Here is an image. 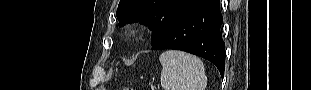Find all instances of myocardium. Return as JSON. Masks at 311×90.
Here are the masks:
<instances>
[{
  "label": "myocardium",
  "instance_id": "myocardium-1",
  "mask_svg": "<svg viewBox=\"0 0 311 90\" xmlns=\"http://www.w3.org/2000/svg\"><path fill=\"white\" fill-rule=\"evenodd\" d=\"M143 31L144 26L142 24L133 23L126 28L125 34L129 38H137L142 35Z\"/></svg>",
  "mask_w": 311,
  "mask_h": 90
}]
</instances>
